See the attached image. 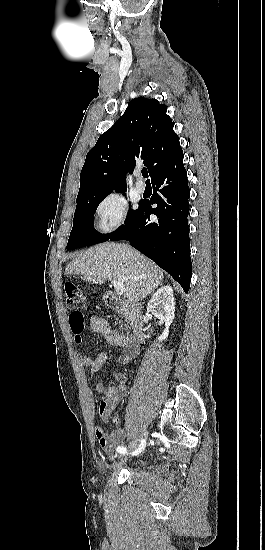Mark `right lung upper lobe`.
<instances>
[{
	"instance_id": "right-lung-upper-lobe-1",
	"label": "right lung upper lobe",
	"mask_w": 265,
	"mask_h": 550,
	"mask_svg": "<svg viewBox=\"0 0 265 550\" xmlns=\"http://www.w3.org/2000/svg\"><path fill=\"white\" fill-rule=\"evenodd\" d=\"M167 106L156 99L131 100L123 115L88 152L77 198L126 191V173L143 160L150 177L181 149Z\"/></svg>"
}]
</instances>
